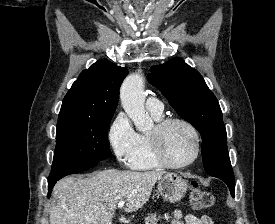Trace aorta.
Listing matches in <instances>:
<instances>
[{
  "label": "aorta",
  "instance_id": "obj_1",
  "mask_svg": "<svg viewBox=\"0 0 275 224\" xmlns=\"http://www.w3.org/2000/svg\"><path fill=\"white\" fill-rule=\"evenodd\" d=\"M120 99L136 130L139 132L149 130L152 120L145 110L144 82L140 74L133 73L124 80L120 89Z\"/></svg>",
  "mask_w": 275,
  "mask_h": 224
}]
</instances>
